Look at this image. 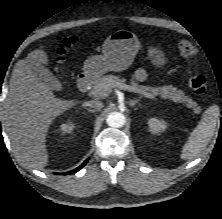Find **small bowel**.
Returning <instances> with one entry per match:
<instances>
[{"label":"small bowel","mask_w":222,"mask_h":219,"mask_svg":"<svg viewBox=\"0 0 222 219\" xmlns=\"http://www.w3.org/2000/svg\"><path fill=\"white\" fill-rule=\"evenodd\" d=\"M147 78V72L144 69H138L134 74V79L138 82H143Z\"/></svg>","instance_id":"1"}]
</instances>
